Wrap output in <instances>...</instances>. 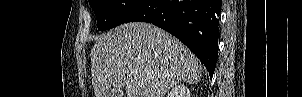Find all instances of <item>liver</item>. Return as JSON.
Returning a JSON list of instances; mask_svg holds the SVG:
<instances>
[{
	"label": "liver",
	"instance_id": "6515ba94",
	"mask_svg": "<svg viewBox=\"0 0 302 97\" xmlns=\"http://www.w3.org/2000/svg\"><path fill=\"white\" fill-rule=\"evenodd\" d=\"M95 97H164L179 82L200 81L199 59L176 37L154 25L125 23L98 38L91 50ZM123 97V96H122Z\"/></svg>",
	"mask_w": 302,
	"mask_h": 97
}]
</instances>
